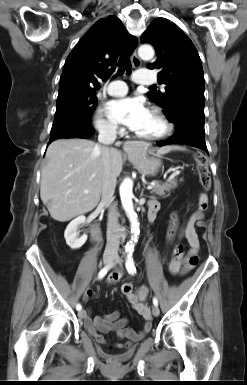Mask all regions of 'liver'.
Segmentation results:
<instances>
[{
  "label": "liver",
  "instance_id": "6515ba94",
  "mask_svg": "<svg viewBox=\"0 0 247 385\" xmlns=\"http://www.w3.org/2000/svg\"><path fill=\"white\" fill-rule=\"evenodd\" d=\"M103 152L101 145L82 138L58 139L49 145L40 197L54 220L69 221L98 205L104 176ZM109 156L111 172L118 177L122 154L109 148Z\"/></svg>",
  "mask_w": 247,
  "mask_h": 385
}]
</instances>
